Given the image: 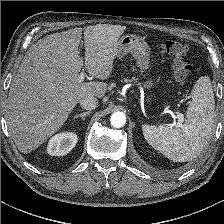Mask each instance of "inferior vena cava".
I'll return each instance as SVG.
<instances>
[{
  "instance_id": "obj_1",
  "label": "inferior vena cava",
  "mask_w": 224,
  "mask_h": 224,
  "mask_svg": "<svg viewBox=\"0 0 224 224\" xmlns=\"http://www.w3.org/2000/svg\"><path fill=\"white\" fill-rule=\"evenodd\" d=\"M80 105L83 109L92 110L98 105V100L94 96H86L80 100Z\"/></svg>"
}]
</instances>
